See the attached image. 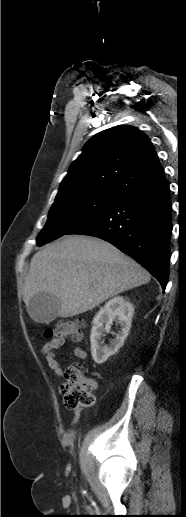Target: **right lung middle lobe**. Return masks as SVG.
I'll return each mask as SVG.
<instances>
[{"instance_id":"right-lung-middle-lobe-1","label":"right lung middle lobe","mask_w":186,"mask_h":517,"mask_svg":"<svg viewBox=\"0 0 186 517\" xmlns=\"http://www.w3.org/2000/svg\"><path fill=\"white\" fill-rule=\"evenodd\" d=\"M120 197L76 194L56 198L47 222L37 237L41 246L55 240L112 206Z\"/></svg>"}]
</instances>
